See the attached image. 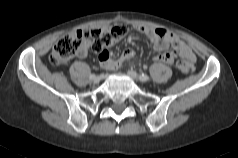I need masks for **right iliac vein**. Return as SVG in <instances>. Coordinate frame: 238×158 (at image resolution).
<instances>
[{"instance_id": "1", "label": "right iliac vein", "mask_w": 238, "mask_h": 158, "mask_svg": "<svg viewBox=\"0 0 238 158\" xmlns=\"http://www.w3.org/2000/svg\"><path fill=\"white\" fill-rule=\"evenodd\" d=\"M93 82L95 83V84H98L99 82H100V77H95L94 78V80H93Z\"/></svg>"}]
</instances>
